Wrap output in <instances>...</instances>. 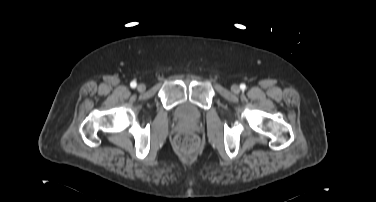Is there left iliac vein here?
I'll use <instances>...</instances> for the list:
<instances>
[{
	"label": "left iliac vein",
	"mask_w": 376,
	"mask_h": 202,
	"mask_svg": "<svg viewBox=\"0 0 376 202\" xmlns=\"http://www.w3.org/2000/svg\"><path fill=\"white\" fill-rule=\"evenodd\" d=\"M231 90L235 94H238L240 92V87L238 85L234 84V85H232Z\"/></svg>",
	"instance_id": "left-iliac-vein-1"
}]
</instances>
